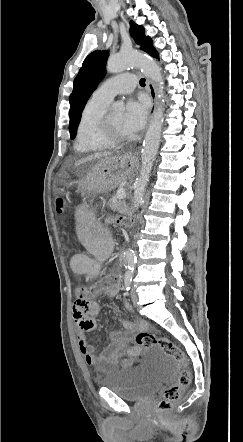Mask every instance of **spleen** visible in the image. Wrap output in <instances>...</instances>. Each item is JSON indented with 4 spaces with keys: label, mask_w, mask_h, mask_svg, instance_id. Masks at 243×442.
Segmentation results:
<instances>
[{
    "label": "spleen",
    "mask_w": 243,
    "mask_h": 442,
    "mask_svg": "<svg viewBox=\"0 0 243 442\" xmlns=\"http://www.w3.org/2000/svg\"><path fill=\"white\" fill-rule=\"evenodd\" d=\"M69 200L78 202L80 195L71 193ZM75 212L82 219V222L77 224V237H80L81 242H86V248H92L90 254L85 255V259H78V268L81 274H88L89 280H102L103 259L98 258H112V239H103L104 228H100L94 217H87L90 212L89 205H76ZM80 293L82 296H91L93 290L91 287H82Z\"/></svg>",
    "instance_id": "1"
}]
</instances>
